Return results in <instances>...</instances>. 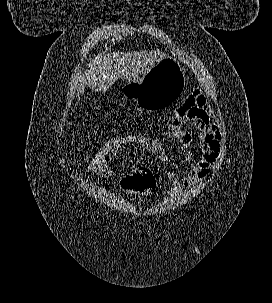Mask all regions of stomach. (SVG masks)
<instances>
[{
	"instance_id": "1",
	"label": "stomach",
	"mask_w": 272,
	"mask_h": 303,
	"mask_svg": "<svg viewBox=\"0 0 272 303\" xmlns=\"http://www.w3.org/2000/svg\"><path fill=\"white\" fill-rule=\"evenodd\" d=\"M185 88V75L179 62L166 56L143 78L122 88L125 97L132 98L144 110H157L177 100Z\"/></svg>"
}]
</instances>
